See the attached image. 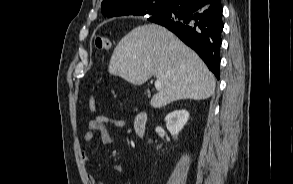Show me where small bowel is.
Wrapping results in <instances>:
<instances>
[{"label": "small bowel", "mask_w": 293, "mask_h": 184, "mask_svg": "<svg viewBox=\"0 0 293 184\" xmlns=\"http://www.w3.org/2000/svg\"><path fill=\"white\" fill-rule=\"evenodd\" d=\"M109 125L121 128L126 125V121L124 119L118 118L115 114L96 116L95 118L89 121L88 131L83 135V140L86 143L92 142L94 138V133L98 132L100 133L101 140L104 144L113 143L114 140L108 130ZM82 156L85 164H89L90 158L87 151H83ZM113 170H115L118 173H122L124 171V167L121 164H115L113 166ZM86 178L88 184H105L101 181H98L90 173H87Z\"/></svg>", "instance_id": "small-bowel-1"}]
</instances>
